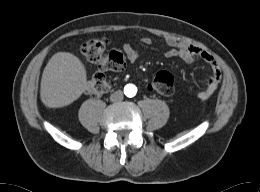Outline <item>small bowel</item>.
Returning a JSON list of instances; mask_svg holds the SVG:
<instances>
[{
    "label": "small bowel",
    "instance_id": "c3829d8e",
    "mask_svg": "<svg viewBox=\"0 0 260 192\" xmlns=\"http://www.w3.org/2000/svg\"><path fill=\"white\" fill-rule=\"evenodd\" d=\"M141 42L144 45L153 44L150 37H143ZM165 43L168 47L164 54L166 58H180L187 64H193L197 59H201L208 64L210 75L204 81V87L197 93V97L202 100L209 98L217 89L222 77L221 68L216 59L207 51L192 44L179 42L171 38L166 39ZM122 50L129 62L134 63L138 60L139 53L133 45L125 43L122 45Z\"/></svg>",
    "mask_w": 260,
    "mask_h": 192
}]
</instances>
